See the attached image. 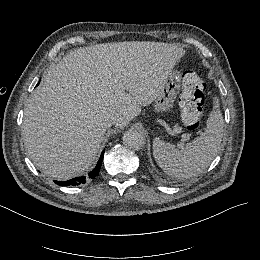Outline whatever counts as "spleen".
<instances>
[{"mask_svg": "<svg viewBox=\"0 0 260 260\" xmlns=\"http://www.w3.org/2000/svg\"><path fill=\"white\" fill-rule=\"evenodd\" d=\"M211 102L205 131L181 148L154 138V158L167 175L179 179L196 176L213 161L222 141L224 119L217 94L212 96Z\"/></svg>", "mask_w": 260, "mask_h": 260, "instance_id": "spleen-1", "label": "spleen"}]
</instances>
